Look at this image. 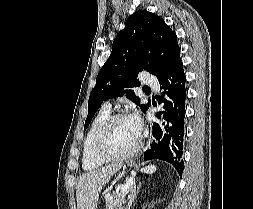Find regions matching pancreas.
I'll use <instances>...</instances> for the list:
<instances>
[{
  "label": "pancreas",
  "instance_id": "pancreas-1",
  "mask_svg": "<svg viewBox=\"0 0 253 209\" xmlns=\"http://www.w3.org/2000/svg\"><path fill=\"white\" fill-rule=\"evenodd\" d=\"M129 190L122 192L116 190L113 194H109L105 197L106 209H117L125 202V197L128 194Z\"/></svg>",
  "mask_w": 253,
  "mask_h": 209
}]
</instances>
